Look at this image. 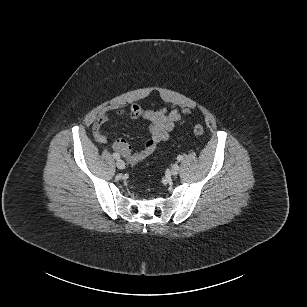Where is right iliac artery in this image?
<instances>
[{"label":"right iliac artery","instance_id":"82829eb1","mask_svg":"<svg viewBox=\"0 0 307 307\" xmlns=\"http://www.w3.org/2000/svg\"><path fill=\"white\" fill-rule=\"evenodd\" d=\"M113 157H114L115 159H119V158H120V155H119L118 153H113Z\"/></svg>","mask_w":307,"mask_h":307}]
</instances>
